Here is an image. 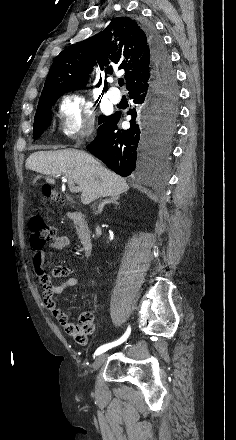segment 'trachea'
I'll return each mask as SVG.
<instances>
[{"label": "trachea", "instance_id": "obj_1", "mask_svg": "<svg viewBox=\"0 0 236 440\" xmlns=\"http://www.w3.org/2000/svg\"><path fill=\"white\" fill-rule=\"evenodd\" d=\"M118 84L122 87L124 85V79H119Z\"/></svg>", "mask_w": 236, "mask_h": 440}]
</instances>
